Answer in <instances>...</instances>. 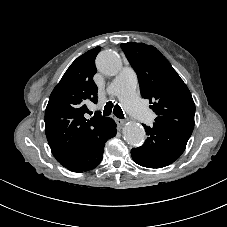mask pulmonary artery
<instances>
[{"label":"pulmonary artery","mask_w":227,"mask_h":227,"mask_svg":"<svg viewBox=\"0 0 227 227\" xmlns=\"http://www.w3.org/2000/svg\"><path fill=\"white\" fill-rule=\"evenodd\" d=\"M137 78L135 72L125 67L112 80L107 88L111 95H116L121 100L125 108L134 115V117L143 124H149L152 114L144 103L135 93Z\"/></svg>","instance_id":"1"}]
</instances>
